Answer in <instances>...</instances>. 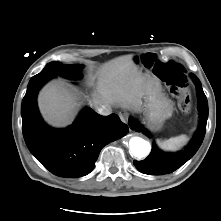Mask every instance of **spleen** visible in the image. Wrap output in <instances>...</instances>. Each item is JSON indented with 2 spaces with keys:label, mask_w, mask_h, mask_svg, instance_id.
<instances>
[{
  "label": "spleen",
  "mask_w": 221,
  "mask_h": 221,
  "mask_svg": "<svg viewBox=\"0 0 221 221\" xmlns=\"http://www.w3.org/2000/svg\"><path fill=\"white\" fill-rule=\"evenodd\" d=\"M186 141H187V136L180 135V136L172 137L170 139L159 141L158 145L161 149L165 151H175L178 148H180Z\"/></svg>",
  "instance_id": "spleen-1"
}]
</instances>
